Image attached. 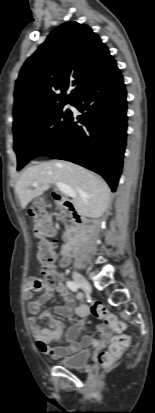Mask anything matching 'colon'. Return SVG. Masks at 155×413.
<instances>
[{
	"label": "colon",
	"mask_w": 155,
	"mask_h": 413,
	"mask_svg": "<svg viewBox=\"0 0 155 413\" xmlns=\"http://www.w3.org/2000/svg\"><path fill=\"white\" fill-rule=\"evenodd\" d=\"M31 225L34 233L39 238H44L52 231V222L50 216L41 201H36L29 210ZM55 244L42 242L38 247V259L41 264V273L46 286L54 288L60 282V274L56 268ZM91 311L94 316L104 320L106 326L116 332L108 350L98 355V362L103 366H109L119 359L130 345V337L123 334L124 323L115 315L111 314L107 307L100 301H94L91 305Z\"/></svg>",
	"instance_id": "obj_1"
}]
</instances>
